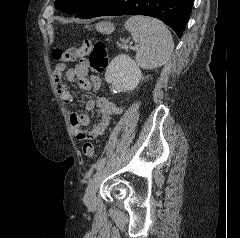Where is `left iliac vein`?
Listing matches in <instances>:
<instances>
[{
  "mask_svg": "<svg viewBox=\"0 0 240 238\" xmlns=\"http://www.w3.org/2000/svg\"><path fill=\"white\" fill-rule=\"evenodd\" d=\"M109 169L110 167L107 166L102 168L100 172L89 183L83 199L85 205L89 209H94L96 207V192L99 189V186Z\"/></svg>",
  "mask_w": 240,
  "mask_h": 238,
  "instance_id": "left-iliac-vein-1",
  "label": "left iliac vein"
}]
</instances>
